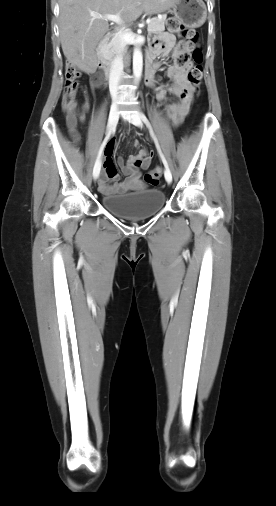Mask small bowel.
Listing matches in <instances>:
<instances>
[{"instance_id": "obj_1", "label": "small bowel", "mask_w": 276, "mask_h": 506, "mask_svg": "<svg viewBox=\"0 0 276 506\" xmlns=\"http://www.w3.org/2000/svg\"><path fill=\"white\" fill-rule=\"evenodd\" d=\"M146 55L151 60L148 64L150 77L145 78L146 83L156 88L158 99L165 102L168 100L169 94L181 98L180 102L169 103L166 108L167 117L172 121L174 126H178L187 112L193 91V86L187 79V71L191 66L188 59L187 47L184 42L175 44V37L173 35L164 34L161 37V41L151 44ZM158 56H172L174 60L173 64L169 65L166 69V75L172 81L170 85H158L155 77L156 70L161 66L156 60ZM91 86L94 90L102 86V78L99 74L95 73L92 75ZM89 106L90 104L85 102L81 107L82 111H87ZM134 146L138 147L139 144L134 142ZM114 147L115 142L113 141L109 142L106 146L102 176L99 180V189L106 194L125 192L138 186L141 177L139 168L149 167L153 157L152 153L144 149L140 150L138 154L131 156L127 163L124 162L122 157H119L117 164L126 175V180L120 182L112 159ZM109 182H113V184H109Z\"/></svg>"}]
</instances>
